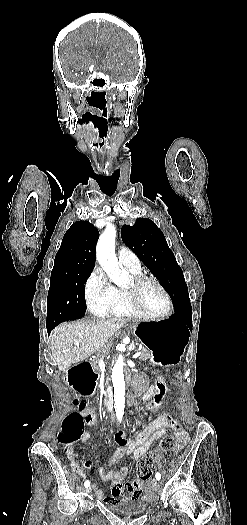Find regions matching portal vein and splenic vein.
I'll return each instance as SVG.
<instances>
[{
	"instance_id": "1",
	"label": "portal vein and splenic vein",
	"mask_w": 247,
	"mask_h": 525,
	"mask_svg": "<svg viewBox=\"0 0 247 525\" xmlns=\"http://www.w3.org/2000/svg\"><path fill=\"white\" fill-rule=\"evenodd\" d=\"M76 345H79V343H76ZM139 356H141V353H134V355H132V358H139ZM96 361L99 362V363H98V366H100V370H102V372H101V377H100V380H99V383H105V380H106V375H105V368H106L105 360H103V357H97V358H96Z\"/></svg>"
}]
</instances>
